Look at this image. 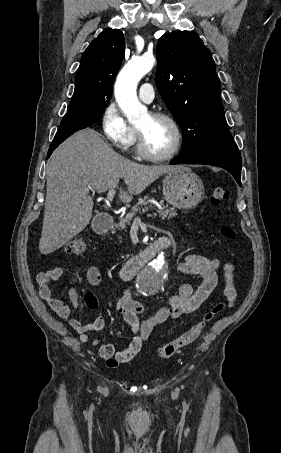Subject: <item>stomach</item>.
I'll return each mask as SVG.
<instances>
[{"label":"stomach","mask_w":281,"mask_h":453,"mask_svg":"<svg viewBox=\"0 0 281 453\" xmlns=\"http://www.w3.org/2000/svg\"><path fill=\"white\" fill-rule=\"evenodd\" d=\"M203 182L191 168L167 172L163 180V194L176 208H194L200 202L204 192Z\"/></svg>","instance_id":"1"}]
</instances>
